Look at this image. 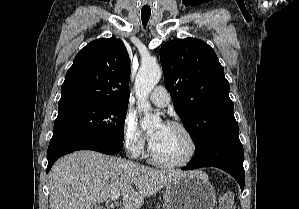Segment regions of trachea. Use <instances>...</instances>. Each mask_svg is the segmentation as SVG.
<instances>
[{
  "mask_svg": "<svg viewBox=\"0 0 299 209\" xmlns=\"http://www.w3.org/2000/svg\"><path fill=\"white\" fill-rule=\"evenodd\" d=\"M141 19H142L143 25L146 26V24L149 21V16H141Z\"/></svg>",
  "mask_w": 299,
  "mask_h": 209,
  "instance_id": "obj_1",
  "label": "trachea"
}]
</instances>
